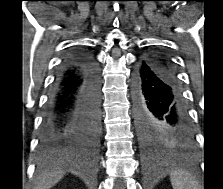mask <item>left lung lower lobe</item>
<instances>
[{"label":"left lung lower lobe","mask_w":223,"mask_h":189,"mask_svg":"<svg viewBox=\"0 0 223 189\" xmlns=\"http://www.w3.org/2000/svg\"><path fill=\"white\" fill-rule=\"evenodd\" d=\"M133 97L138 128L160 124L183 144L193 141L180 85L162 63L153 60L139 62L133 76Z\"/></svg>","instance_id":"obj_1"}]
</instances>
